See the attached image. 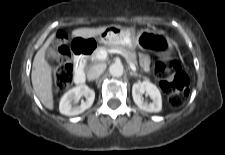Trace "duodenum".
<instances>
[{"instance_id": "410a0bca", "label": "duodenum", "mask_w": 225, "mask_h": 155, "mask_svg": "<svg viewBox=\"0 0 225 155\" xmlns=\"http://www.w3.org/2000/svg\"><path fill=\"white\" fill-rule=\"evenodd\" d=\"M75 73L74 81L76 84L85 82V64L87 57L92 53L93 46L88 42H79L74 48Z\"/></svg>"}]
</instances>
